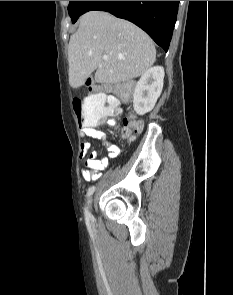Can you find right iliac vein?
I'll return each mask as SVG.
<instances>
[{
  "label": "right iliac vein",
  "instance_id": "right-iliac-vein-1",
  "mask_svg": "<svg viewBox=\"0 0 233 295\" xmlns=\"http://www.w3.org/2000/svg\"><path fill=\"white\" fill-rule=\"evenodd\" d=\"M91 208H92V198H90L88 202V209L91 210Z\"/></svg>",
  "mask_w": 233,
  "mask_h": 295
}]
</instances>
